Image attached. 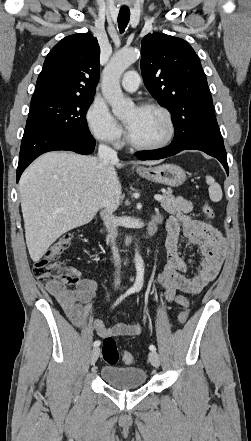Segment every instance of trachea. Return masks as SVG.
Masks as SVG:
<instances>
[{
  "mask_svg": "<svg viewBox=\"0 0 251 441\" xmlns=\"http://www.w3.org/2000/svg\"><path fill=\"white\" fill-rule=\"evenodd\" d=\"M130 20V10L128 8H121L118 14V28L120 33H123Z\"/></svg>",
  "mask_w": 251,
  "mask_h": 441,
  "instance_id": "1",
  "label": "trachea"
}]
</instances>
